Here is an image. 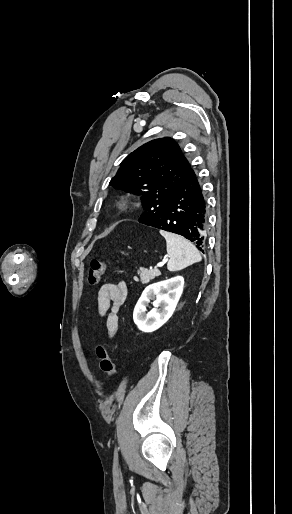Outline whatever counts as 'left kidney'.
<instances>
[{
    "label": "left kidney",
    "mask_w": 292,
    "mask_h": 514,
    "mask_svg": "<svg viewBox=\"0 0 292 514\" xmlns=\"http://www.w3.org/2000/svg\"><path fill=\"white\" fill-rule=\"evenodd\" d=\"M184 278L176 276L145 288L133 312V320L141 332H155L171 318L183 292ZM154 308L147 312L148 304Z\"/></svg>",
    "instance_id": "1"
}]
</instances>
